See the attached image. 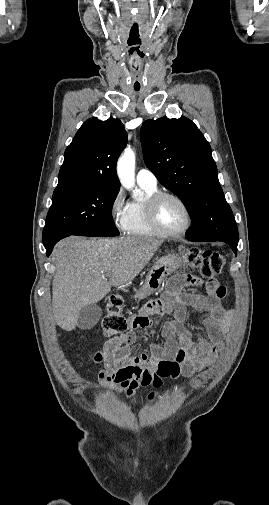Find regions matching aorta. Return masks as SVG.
I'll return each mask as SVG.
<instances>
[{"mask_svg": "<svg viewBox=\"0 0 269 505\" xmlns=\"http://www.w3.org/2000/svg\"><path fill=\"white\" fill-rule=\"evenodd\" d=\"M117 174L120 179L121 184L126 189H132L135 185V154L130 149L127 148L122 156L119 158L117 163ZM141 193L138 190L134 191V196H140Z\"/></svg>", "mask_w": 269, "mask_h": 505, "instance_id": "1", "label": "aorta"}]
</instances>
